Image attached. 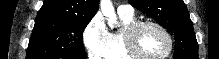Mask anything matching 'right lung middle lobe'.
Returning a JSON list of instances; mask_svg holds the SVG:
<instances>
[{
  "label": "right lung middle lobe",
  "mask_w": 219,
  "mask_h": 59,
  "mask_svg": "<svg viewBox=\"0 0 219 59\" xmlns=\"http://www.w3.org/2000/svg\"><path fill=\"white\" fill-rule=\"evenodd\" d=\"M90 20L36 17L26 59H86L82 35Z\"/></svg>",
  "instance_id": "1"
}]
</instances>
